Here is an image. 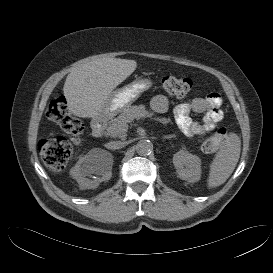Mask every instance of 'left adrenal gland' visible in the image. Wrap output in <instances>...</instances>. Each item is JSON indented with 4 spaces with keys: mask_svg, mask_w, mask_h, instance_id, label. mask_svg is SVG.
I'll use <instances>...</instances> for the list:
<instances>
[{
    "mask_svg": "<svg viewBox=\"0 0 273 273\" xmlns=\"http://www.w3.org/2000/svg\"><path fill=\"white\" fill-rule=\"evenodd\" d=\"M173 137H175V135H166V136L163 137V140L164 139H170V138H173Z\"/></svg>",
    "mask_w": 273,
    "mask_h": 273,
    "instance_id": "left-adrenal-gland-1",
    "label": "left adrenal gland"
}]
</instances>
